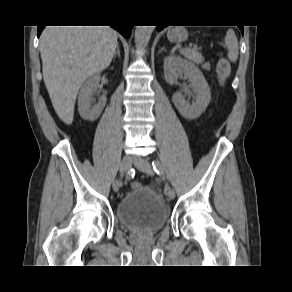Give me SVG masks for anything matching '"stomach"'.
<instances>
[{
	"label": "stomach",
	"mask_w": 292,
	"mask_h": 292,
	"mask_svg": "<svg viewBox=\"0 0 292 292\" xmlns=\"http://www.w3.org/2000/svg\"><path fill=\"white\" fill-rule=\"evenodd\" d=\"M167 37L172 42H182L187 39L188 34L185 29L176 27L168 30Z\"/></svg>",
	"instance_id": "obj_1"
}]
</instances>
